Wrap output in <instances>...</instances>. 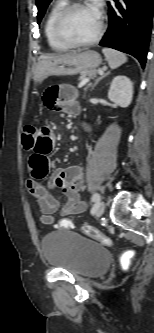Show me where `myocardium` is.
Listing matches in <instances>:
<instances>
[{
    "instance_id": "obj_1",
    "label": "myocardium",
    "mask_w": 154,
    "mask_h": 333,
    "mask_svg": "<svg viewBox=\"0 0 154 333\" xmlns=\"http://www.w3.org/2000/svg\"><path fill=\"white\" fill-rule=\"evenodd\" d=\"M84 6H88L87 3L82 2L80 0H74L71 1L69 3H67L58 13L55 21H54V33L56 35V37L58 38V40L60 42H62L63 44L69 46V47H86V46H90L95 44L96 42H98L100 40V38L102 37L103 33H104V17L102 15V13L98 12V16H99V24H98V29L96 34L88 39V40H84V41H76L71 39L66 32L64 31V23L66 21V18L68 17V15L71 13V11H73L76 8L79 7H84Z\"/></svg>"
}]
</instances>
